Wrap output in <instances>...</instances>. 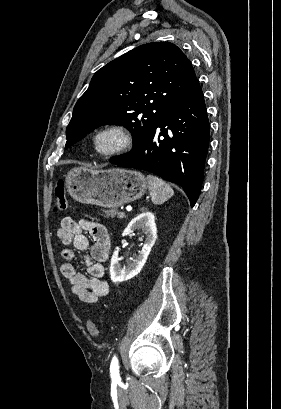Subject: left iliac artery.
I'll use <instances>...</instances> for the list:
<instances>
[{"label":"left iliac artery","mask_w":281,"mask_h":409,"mask_svg":"<svg viewBox=\"0 0 281 409\" xmlns=\"http://www.w3.org/2000/svg\"><path fill=\"white\" fill-rule=\"evenodd\" d=\"M110 373L112 379H119V366H118V359L116 356L113 357L111 366H110Z\"/></svg>","instance_id":"44dca946"}]
</instances>
